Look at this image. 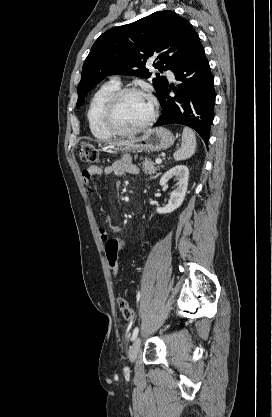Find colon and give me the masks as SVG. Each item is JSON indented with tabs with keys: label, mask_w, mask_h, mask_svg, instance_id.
I'll return each mask as SVG.
<instances>
[{
	"label": "colon",
	"mask_w": 272,
	"mask_h": 417,
	"mask_svg": "<svg viewBox=\"0 0 272 417\" xmlns=\"http://www.w3.org/2000/svg\"><path fill=\"white\" fill-rule=\"evenodd\" d=\"M80 159L87 163H96L99 160V152L91 142H83L80 148ZM127 241L123 238H111L105 243V254L109 265V269L114 277L119 271L118 253L124 249ZM120 311L126 320H134L136 318L135 310L130 306L126 298L120 297L118 300Z\"/></svg>",
	"instance_id": "colon-1"
}]
</instances>
